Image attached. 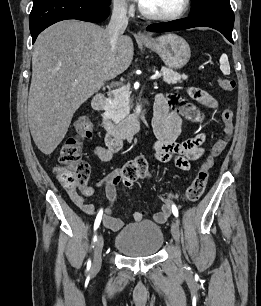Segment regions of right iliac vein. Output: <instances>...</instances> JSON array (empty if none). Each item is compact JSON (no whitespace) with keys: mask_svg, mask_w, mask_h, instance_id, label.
Instances as JSON below:
<instances>
[{"mask_svg":"<svg viewBox=\"0 0 261 306\" xmlns=\"http://www.w3.org/2000/svg\"><path fill=\"white\" fill-rule=\"evenodd\" d=\"M95 238H96V242H95L94 257H93V263H92L93 273L99 271L101 268L102 250L104 246V239L101 234L96 233Z\"/></svg>","mask_w":261,"mask_h":306,"instance_id":"obj_1","label":"right iliac vein"}]
</instances>
